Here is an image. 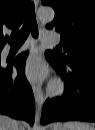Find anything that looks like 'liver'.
<instances>
[{
    "label": "liver",
    "instance_id": "obj_1",
    "mask_svg": "<svg viewBox=\"0 0 95 130\" xmlns=\"http://www.w3.org/2000/svg\"><path fill=\"white\" fill-rule=\"evenodd\" d=\"M0 130H25V127L24 123H19L6 115H1Z\"/></svg>",
    "mask_w": 95,
    "mask_h": 130
}]
</instances>
